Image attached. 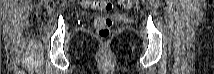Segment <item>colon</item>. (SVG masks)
<instances>
[{"label":"colon","mask_w":214,"mask_h":74,"mask_svg":"<svg viewBox=\"0 0 214 74\" xmlns=\"http://www.w3.org/2000/svg\"><path fill=\"white\" fill-rule=\"evenodd\" d=\"M124 9H130L134 5L133 0H121L118 1ZM84 7H92L94 9L102 11H111L114 8L113 1H84ZM96 27L98 29L99 35L102 37H107L114 27V21L110 17L101 18L97 21Z\"/></svg>","instance_id":"colon-1"}]
</instances>
